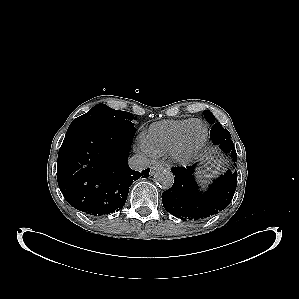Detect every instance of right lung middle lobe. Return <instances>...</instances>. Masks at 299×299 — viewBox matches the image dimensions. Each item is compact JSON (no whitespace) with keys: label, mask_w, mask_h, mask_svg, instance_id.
Returning a JSON list of instances; mask_svg holds the SVG:
<instances>
[{"label":"right lung middle lobe","mask_w":299,"mask_h":299,"mask_svg":"<svg viewBox=\"0 0 299 299\" xmlns=\"http://www.w3.org/2000/svg\"><path fill=\"white\" fill-rule=\"evenodd\" d=\"M133 118L132 113L114 110L105 104H97L86 114L74 119L67 131L104 127H134L131 122Z\"/></svg>","instance_id":"right-lung-middle-lobe-1"}]
</instances>
